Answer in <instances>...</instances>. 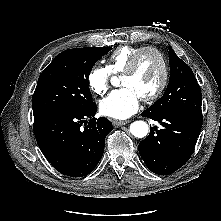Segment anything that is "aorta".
Here are the masks:
<instances>
[{"label":"aorta","mask_w":221,"mask_h":221,"mask_svg":"<svg viewBox=\"0 0 221 221\" xmlns=\"http://www.w3.org/2000/svg\"><path fill=\"white\" fill-rule=\"evenodd\" d=\"M115 77L112 81H115ZM130 132L132 135L138 138L145 137L149 132L148 124L144 121H135L130 125Z\"/></svg>","instance_id":"1"}]
</instances>
